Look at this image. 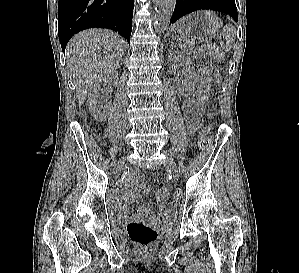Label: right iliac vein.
I'll return each instance as SVG.
<instances>
[{
  "label": "right iliac vein",
  "mask_w": 299,
  "mask_h": 273,
  "mask_svg": "<svg viewBox=\"0 0 299 273\" xmlns=\"http://www.w3.org/2000/svg\"><path fill=\"white\" fill-rule=\"evenodd\" d=\"M125 160H126V158L123 157V158L119 161V163H118V167H117L118 171L122 170V168H123V166H124V164H125Z\"/></svg>",
  "instance_id": "obj_1"
}]
</instances>
